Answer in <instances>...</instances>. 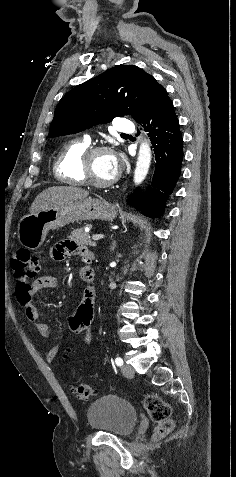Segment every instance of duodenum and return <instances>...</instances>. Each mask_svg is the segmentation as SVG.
I'll return each mask as SVG.
<instances>
[{"label":"duodenum","instance_id":"410a0bca","mask_svg":"<svg viewBox=\"0 0 236 477\" xmlns=\"http://www.w3.org/2000/svg\"><path fill=\"white\" fill-rule=\"evenodd\" d=\"M92 260H93V259H90V260H88V262H89V263H91V262H92Z\"/></svg>","mask_w":236,"mask_h":477}]
</instances>
